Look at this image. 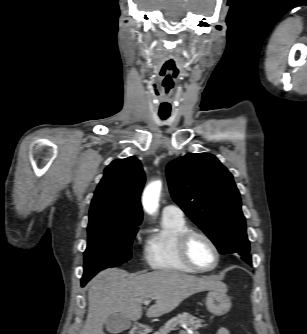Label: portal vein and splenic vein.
Wrapping results in <instances>:
<instances>
[{
    "label": "portal vein and splenic vein",
    "mask_w": 307,
    "mask_h": 334,
    "mask_svg": "<svg viewBox=\"0 0 307 334\" xmlns=\"http://www.w3.org/2000/svg\"><path fill=\"white\" fill-rule=\"evenodd\" d=\"M143 303L144 305H148L150 303V300H145Z\"/></svg>",
    "instance_id": "18ae733b"
}]
</instances>
